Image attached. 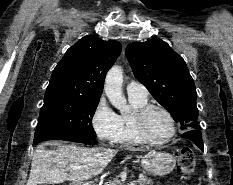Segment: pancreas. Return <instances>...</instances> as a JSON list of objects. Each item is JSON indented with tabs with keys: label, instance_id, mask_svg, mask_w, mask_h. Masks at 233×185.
Masks as SVG:
<instances>
[{
	"label": "pancreas",
	"instance_id": "cf45deb5",
	"mask_svg": "<svg viewBox=\"0 0 233 185\" xmlns=\"http://www.w3.org/2000/svg\"><path fill=\"white\" fill-rule=\"evenodd\" d=\"M138 185H152V180L148 178L146 175H140L138 180L136 181ZM105 185H122L120 180H111Z\"/></svg>",
	"mask_w": 233,
	"mask_h": 185
}]
</instances>
